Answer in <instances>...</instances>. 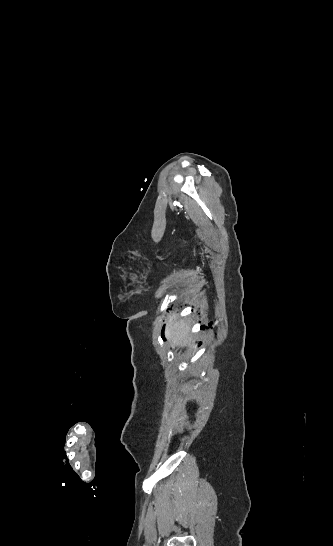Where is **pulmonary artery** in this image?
<instances>
[{
	"mask_svg": "<svg viewBox=\"0 0 333 546\" xmlns=\"http://www.w3.org/2000/svg\"><path fill=\"white\" fill-rule=\"evenodd\" d=\"M273 14H281V13H273Z\"/></svg>",
	"mask_w": 333,
	"mask_h": 546,
	"instance_id": "obj_1",
	"label": "pulmonary artery"
}]
</instances>
